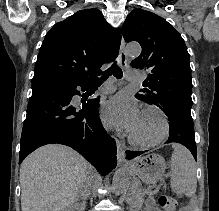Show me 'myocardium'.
<instances>
[{"instance_id": "f54148a6", "label": "myocardium", "mask_w": 219, "mask_h": 211, "mask_svg": "<svg viewBox=\"0 0 219 211\" xmlns=\"http://www.w3.org/2000/svg\"><path fill=\"white\" fill-rule=\"evenodd\" d=\"M146 111H154L161 116L162 121H163V127H162L161 134L153 140H141V139H138L135 136H133L130 132L128 135V140L131 144L136 145V146L153 147V146L161 143L163 140H165L167 138V136L169 134V129H170L169 118H168L166 112L157 105H147V106L142 108L141 113H144Z\"/></svg>"}]
</instances>
